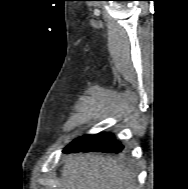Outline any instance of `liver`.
Segmentation results:
<instances>
[{"label": "liver", "instance_id": "6515ba94", "mask_svg": "<svg viewBox=\"0 0 188 189\" xmlns=\"http://www.w3.org/2000/svg\"><path fill=\"white\" fill-rule=\"evenodd\" d=\"M61 173V189H139L136 176L129 169L98 155H70Z\"/></svg>", "mask_w": 188, "mask_h": 189}]
</instances>
